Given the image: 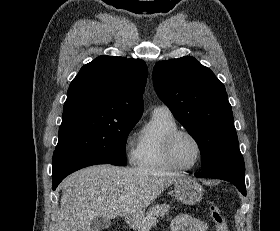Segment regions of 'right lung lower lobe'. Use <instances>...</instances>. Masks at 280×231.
<instances>
[{
	"mask_svg": "<svg viewBox=\"0 0 280 231\" xmlns=\"http://www.w3.org/2000/svg\"><path fill=\"white\" fill-rule=\"evenodd\" d=\"M108 164L102 160L83 156L76 153L58 152L53 155L52 189L55 190L59 183L70 173L81 168Z\"/></svg>",
	"mask_w": 280,
	"mask_h": 231,
	"instance_id": "right-lung-lower-lobe-1",
	"label": "right lung lower lobe"
}]
</instances>
